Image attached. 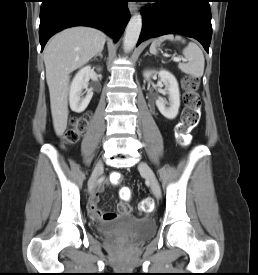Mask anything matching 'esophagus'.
<instances>
[{
    "label": "esophagus",
    "mask_w": 258,
    "mask_h": 275,
    "mask_svg": "<svg viewBox=\"0 0 258 275\" xmlns=\"http://www.w3.org/2000/svg\"><path fill=\"white\" fill-rule=\"evenodd\" d=\"M128 8L131 13H134L137 10V5L133 2L128 3Z\"/></svg>",
    "instance_id": "esophagus-1"
}]
</instances>
